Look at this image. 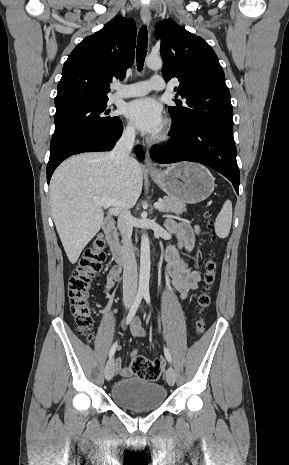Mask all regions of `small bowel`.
<instances>
[{
  "label": "small bowel",
  "mask_w": 289,
  "mask_h": 465,
  "mask_svg": "<svg viewBox=\"0 0 289 465\" xmlns=\"http://www.w3.org/2000/svg\"><path fill=\"white\" fill-rule=\"evenodd\" d=\"M166 227L169 232L176 235L178 243L169 247L165 252L166 270L171 279L173 287L178 291L181 298H186L187 295L198 288L200 283V274L196 267L190 266L184 259V254L193 250L196 237L199 229L196 226H191L186 223H176L168 221ZM120 277V269L117 267L111 268L105 278V291L113 288L114 284ZM131 333L142 338L146 335L145 330L141 326V321L135 317L130 324ZM115 365L118 373L123 377L131 375V370L122 366L121 359H115Z\"/></svg>",
  "instance_id": "obj_1"
}]
</instances>
